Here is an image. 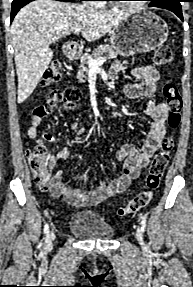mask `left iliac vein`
<instances>
[{"mask_svg":"<svg viewBox=\"0 0 193 287\" xmlns=\"http://www.w3.org/2000/svg\"><path fill=\"white\" fill-rule=\"evenodd\" d=\"M136 238L139 242H142L143 241V233H142V230L140 227L137 228V231H136Z\"/></svg>","mask_w":193,"mask_h":287,"instance_id":"1","label":"left iliac vein"}]
</instances>
